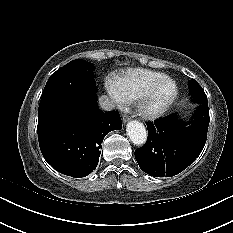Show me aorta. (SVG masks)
<instances>
[{
	"label": "aorta",
	"mask_w": 233,
	"mask_h": 233,
	"mask_svg": "<svg viewBox=\"0 0 233 233\" xmlns=\"http://www.w3.org/2000/svg\"><path fill=\"white\" fill-rule=\"evenodd\" d=\"M127 135L134 145L141 146L147 140V131L145 126L136 120H132L127 124Z\"/></svg>",
	"instance_id": "obj_1"
}]
</instances>
